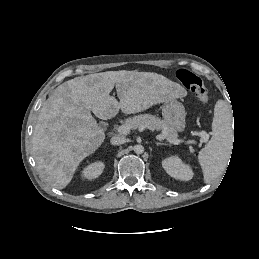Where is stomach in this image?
<instances>
[{
    "instance_id": "stomach-1",
    "label": "stomach",
    "mask_w": 259,
    "mask_h": 259,
    "mask_svg": "<svg viewBox=\"0 0 259 259\" xmlns=\"http://www.w3.org/2000/svg\"><path fill=\"white\" fill-rule=\"evenodd\" d=\"M162 116L164 121L173 127L176 132H182L185 129V108L175 99L164 102L162 107Z\"/></svg>"
}]
</instances>
